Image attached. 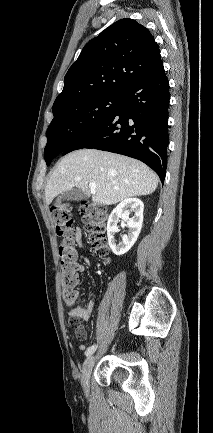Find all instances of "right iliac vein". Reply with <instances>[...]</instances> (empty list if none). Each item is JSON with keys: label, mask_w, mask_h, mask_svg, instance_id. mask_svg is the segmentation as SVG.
Here are the masks:
<instances>
[{"label": "right iliac vein", "mask_w": 213, "mask_h": 433, "mask_svg": "<svg viewBox=\"0 0 213 433\" xmlns=\"http://www.w3.org/2000/svg\"><path fill=\"white\" fill-rule=\"evenodd\" d=\"M95 356L91 355L89 356L82 367V375H81V385L84 389V391L87 393L89 388V377L91 374V371L93 369V366L95 364Z\"/></svg>", "instance_id": "obj_1"}]
</instances>
